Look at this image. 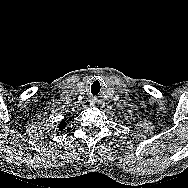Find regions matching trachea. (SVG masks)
I'll list each match as a JSON object with an SVG mask.
<instances>
[{"label":"trachea","instance_id":"trachea-1","mask_svg":"<svg viewBox=\"0 0 188 188\" xmlns=\"http://www.w3.org/2000/svg\"><path fill=\"white\" fill-rule=\"evenodd\" d=\"M103 89V84L100 81H95L93 82L92 86L89 88V93L92 96H97L99 95L100 91Z\"/></svg>","mask_w":188,"mask_h":188}]
</instances>
